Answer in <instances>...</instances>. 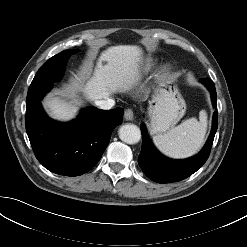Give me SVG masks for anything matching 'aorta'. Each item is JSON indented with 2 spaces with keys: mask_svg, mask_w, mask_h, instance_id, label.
I'll return each instance as SVG.
<instances>
[{
  "mask_svg": "<svg viewBox=\"0 0 247 247\" xmlns=\"http://www.w3.org/2000/svg\"><path fill=\"white\" fill-rule=\"evenodd\" d=\"M119 138L127 144H136L141 139V131L134 124H125L119 129Z\"/></svg>",
  "mask_w": 247,
  "mask_h": 247,
  "instance_id": "762f6f07",
  "label": "aorta"
}]
</instances>
